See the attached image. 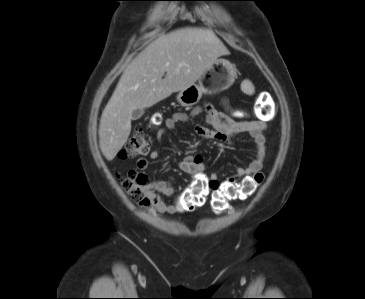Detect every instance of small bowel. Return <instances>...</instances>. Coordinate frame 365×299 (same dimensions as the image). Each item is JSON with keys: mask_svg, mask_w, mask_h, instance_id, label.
I'll use <instances>...</instances> for the list:
<instances>
[{"mask_svg": "<svg viewBox=\"0 0 365 299\" xmlns=\"http://www.w3.org/2000/svg\"><path fill=\"white\" fill-rule=\"evenodd\" d=\"M202 112L206 115V125L195 124V131L198 136L232 144V137L235 134L247 133L254 143L255 153L251 162L246 167L237 168L234 174L228 177L224 183L235 182L242 177L260 172L267 156V145L263 134L267 124L263 119L236 121L215 110L211 105H205L203 107H196L190 114L175 113L171 117L166 118L163 126L156 131L158 140L161 139L166 131L173 130L178 123L190 122L194 116ZM149 157L152 160H158L160 153L157 150H152L149 153ZM137 166L139 169L144 170L147 168L148 162L146 159H139ZM178 167L185 172L193 174L199 182L219 183L217 174H206L201 155L185 156L178 162ZM148 192L153 200L152 204L155 211L177 212L176 206L167 204L159 195L170 196L174 193V188L169 181L163 179L153 181L148 186Z\"/></svg>", "mask_w": 365, "mask_h": 299, "instance_id": "obj_1", "label": "small bowel"}]
</instances>
